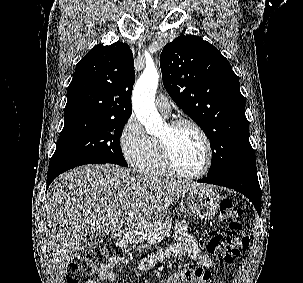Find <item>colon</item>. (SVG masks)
<instances>
[{
    "instance_id": "5ec220e1",
    "label": "colon",
    "mask_w": 303,
    "mask_h": 283,
    "mask_svg": "<svg viewBox=\"0 0 303 283\" xmlns=\"http://www.w3.org/2000/svg\"><path fill=\"white\" fill-rule=\"evenodd\" d=\"M243 209L230 200L220 203V218L227 230L209 236L203 242L205 249L220 263H230L248 247L247 227L242 222ZM111 250L97 246L75 257L68 265L66 279L68 283H97L98 266L108 259ZM205 271L202 268L187 270L173 277L170 283H200Z\"/></svg>"
}]
</instances>
